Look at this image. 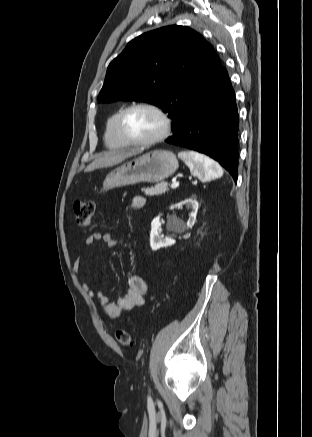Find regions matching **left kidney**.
<instances>
[{"label": "left kidney", "mask_w": 312, "mask_h": 437, "mask_svg": "<svg viewBox=\"0 0 312 437\" xmlns=\"http://www.w3.org/2000/svg\"><path fill=\"white\" fill-rule=\"evenodd\" d=\"M182 205H186L189 208H191V210H192V212L189 216V219L187 221V227L191 228V227H193V225L196 222V215H197L199 204H198L195 196H192L191 198H188V199H186V200H184L176 205H172L171 209H173L176 206L180 207ZM160 227H161V223H160V215H159L156 218H154L152 223H151L150 247L152 250H158L162 247H168V246L175 244V242H176L171 237L164 238L163 236H161L160 232H159ZM167 228L169 230L174 231V232L181 233L185 230L186 225L184 224V222L182 220H180L176 216H169L168 222H167Z\"/></svg>", "instance_id": "obj_1"}]
</instances>
